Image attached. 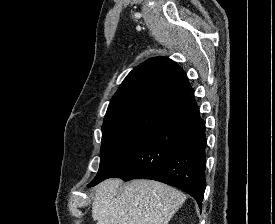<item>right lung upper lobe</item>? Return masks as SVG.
Here are the masks:
<instances>
[{
    "mask_svg": "<svg viewBox=\"0 0 275 224\" xmlns=\"http://www.w3.org/2000/svg\"><path fill=\"white\" fill-rule=\"evenodd\" d=\"M183 69L166 57H153L135 67L114 94L104 123L123 114L144 109L168 110L192 94Z\"/></svg>",
    "mask_w": 275,
    "mask_h": 224,
    "instance_id": "1",
    "label": "right lung upper lobe"
}]
</instances>
